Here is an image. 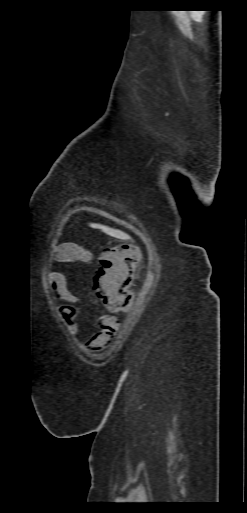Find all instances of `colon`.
Instances as JSON below:
<instances>
[{
	"mask_svg": "<svg viewBox=\"0 0 247 513\" xmlns=\"http://www.w3.org/2000/svg\"><path fill=\"white\" fill-rule=\"evenodd\" d=\"M138 264L139 252L132 244L114 245L100 254L93 289L108 311L117 313L130 306Z\"/></svg>",
	"mask_w": 247,
	"mask_h": 513,
	"instance_id": "colon-1",
	"label": "colon"
}]
</instances>
